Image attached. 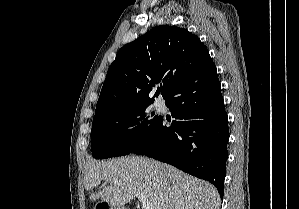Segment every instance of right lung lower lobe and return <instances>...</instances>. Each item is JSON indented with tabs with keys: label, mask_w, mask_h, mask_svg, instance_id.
Returning <instances> with one entry per match:
<instances>
[{
	"label": "right lung lower lobe",
	"mask_w": 299,
	"mask_h": 209,
	"mask_svg": "<svg viewBox=\"0 0 299 209\" xmlns=\"http://www.w3.org/2000/svg\"><path fill=\"white\" fill-rule=\"evenodd\" d=\"M165 99L176 120L166 126L160 116L131 153L145 154L208 180L222 198L229 130L217 71L188 76Z\"/></svg>",
	"instance_id": "1"
}]
</instances>
